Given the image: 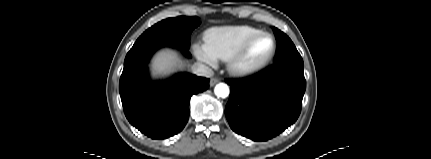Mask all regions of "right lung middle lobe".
I'll use <instances>...</instances> for the list:
<instances>
[{"label": "right lung middle lobe", "mask_w": 431, "mask_h": 159, "mask_svg": "<svg viewBox=\"0 0 431 159\" xmlns=\"http://www.w3.org/2000/svg\"><path fill=\"white\" fill-rule=\"evenodd\" d=\"M200 25L198 17L179 16L158 22L147 29L135 42L138 45L149 41H165L189 47V36Z\"/></svg>", "instance_id": "dd1d6c3e"}]
</instances>
